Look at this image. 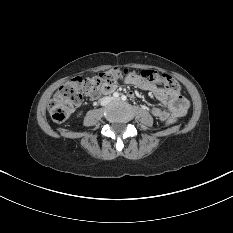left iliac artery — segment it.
<instances>
[{
	"instance_id": "1",
	"label": "left iliac artery",
	"mask_w": 233,
	"mask_h": 233,
	"mask_svg": "<svg viewBox=\"0 0 233 233\" xmlns=\"http://www.w3.org/2000/svg\"><path fill=\"white\" fill-rule=\"evenodd\" d=\"M121 99H122L123 101H125V100H127V97H126L125 95H122V96H121Z\"/></svg>"
}]
</instances>
